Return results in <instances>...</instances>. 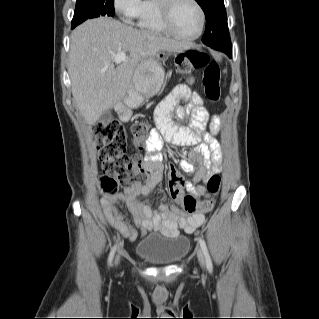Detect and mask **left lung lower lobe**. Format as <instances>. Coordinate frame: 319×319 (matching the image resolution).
<instances>
[{
	"mask_svg": "<svg viewBox=\"0 0 319 319\" xmlns=\"http://www.w3.org/2000/svg\"><path fill=\"white\" fill-rule=\"evenodd\" d=\"M222 52L226 53L229 57H231L232 56V47L231 46L224 47L222 49Z\"/></svg>",
	"mask_w": 319,
	"mask_h": 319,
	"instance_id": "left-lung-lower-lobe-1",
	"label": "left lung lower lobe"
}]
</instances>
